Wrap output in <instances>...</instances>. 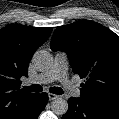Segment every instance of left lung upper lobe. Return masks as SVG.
Listing matches in <instances>:
<instances>
[{"instance_id":"1","label":"left lung upper lobe","mask_w":119,"mask_h":119,"mask_svg":"<svg viewBox=\"0 0 119 119\" xmlns=\"http://www.w3.org/2000/svg\"><path fill=\"white\" fill-rule=\"evenodd\" d=\"M51 49L66 52L73 72L86 79L81 98L119 111V37L114 32L81 20L58 27Z\"/></svg>"}]
</instances>
